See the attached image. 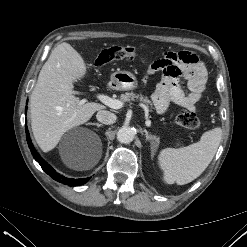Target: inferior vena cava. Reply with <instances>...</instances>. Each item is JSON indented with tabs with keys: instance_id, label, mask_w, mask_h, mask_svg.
<instances>
[{
	"instance_id": "1",
	"label": "inferior vena cava",
	"mask_w": 247,
	"mask_h": 247,
	"mask_svg": "<svg viewBox=\"0 0 247 247\" xmlns=\"http://www.w3.org/2000/svg\"><path fill=\"white\" fill-rule=\"evenodd\" d=\"M96 118L99 122L110 125L115 123L117 117L114 113L106 110H99L96 114Z\"/></svg>"
}]
</instances>
